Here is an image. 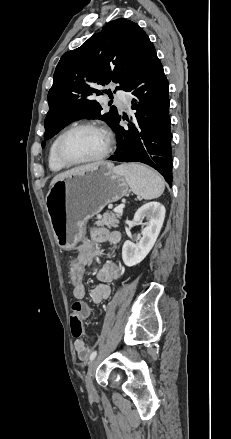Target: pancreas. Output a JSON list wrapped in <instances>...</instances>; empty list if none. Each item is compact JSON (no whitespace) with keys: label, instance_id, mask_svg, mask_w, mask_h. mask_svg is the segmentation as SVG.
<instances>
[{"label":"pancreas","instance_id":"1","mask_svg":"<svg viewBox=\"0 0 231 439\" xmlns=\"http://www.w3.org/2000/svg\"><path fill=\"white\" fill-rule=\"evenodd\" d=\"M122 214H109L105 213L102 218L95 222L97 226H107L108 228H118L119 227V219Z\"/></svg>","mask_w":231,"mask_h":439}]
</instances>
